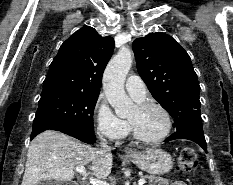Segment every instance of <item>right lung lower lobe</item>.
<instances>
[{"label":"right lung lower lobe","mask_w":233,"mask_h":185,"mask_svg":"<svg viewBox=\"0 0 233 185\" xmlns=\"http://www.w3.org/2000/svg\"><path fill=\"white\" fill-rule=\"evenodd\" d=\"M63 133H66L88 144H93L96 141V136L94 133L84 131H65Z\"/></svg>","instance_id":"obj_1"}]
</instances>
